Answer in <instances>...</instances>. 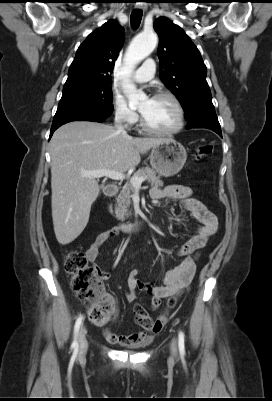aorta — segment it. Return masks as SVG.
I'll list each match as a JSON object with an SVG mask.
<instances>
[{"instance_id": "1", "label": "aorta", "mask_w": 272, "mask_h": 401, "mask_svg": "<svg viewBox=\"0 0 272 401\" xmlns=\"http://www.w3.org/2000/svg\"><path fill=\"white\" fill-rule=\"evenodd\" d=\"M155 33H141L131 42L125 56L122 69V90L128 99L130 107L136 106L146 98V94L138 90L130 80V75L135 66L150 55L157 45Z\"/></svg>"}]
</instances>
